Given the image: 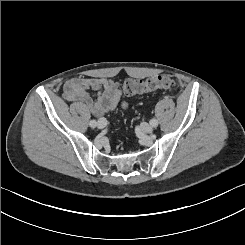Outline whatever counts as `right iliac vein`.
Returning <instances> with one entry per match:
<instances>
[{
    "label": "right iliac vein",
    "instance_id": "right-iliac-vein-1",
    "mask_svg": "<svg viewBox=\"0 0 245 245\" xmlns=\"http://www.w3.org/2000/svg\"><path fill=\"white\" fill-rule=\"evenodd\" d=\"M106 125H107V121L105 118H100L98 120V123H97L98 128L103 129L105 128Z\"/></svg>",
    "mask_w": 245,
    "mask_h": 245
}]
</instances>
